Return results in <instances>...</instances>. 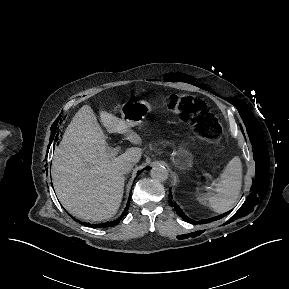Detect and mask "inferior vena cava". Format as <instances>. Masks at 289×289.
<instances>
[{"mask_svg":"<svg viewBox=\"0 0 289 289\" xmlns=\"http://www.w3.org/2000/svg\"><path fill=\"white\" fill-rule=\"evenodd\" d=\"M133 166H134L133 162H125L121 165L120 169H121L123 174H127L131 171Z\"/></svg>","mask_w":289,"mask_h":289,"instance_id":"inferior-vena-cava-1","label":"inferior vena cava"}]
</instances>
